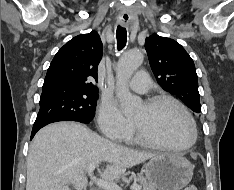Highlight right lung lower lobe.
Instances as JSON below:
<instances>
[{"label": "right lung lower lobe", "instance_id": "98d812e1", "mask_svg": "<svg viewBox=\"0 0 234 190\" xmlns=\"http://www.w3.org/2000/svg\"><path fill=\"white\" fill-rule=\"evenodd\" d=\"M63 121H72V120H63ZM40 128L37 129H33L32 133H31V139L34 137V135L36 134V132L39 130Z\"/></svg>", "mask_w": 234, "mask_h": 190}]
</instances>
